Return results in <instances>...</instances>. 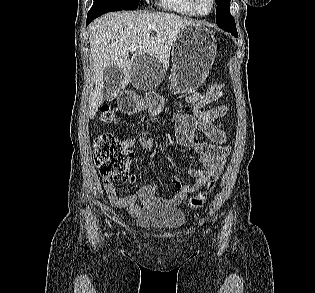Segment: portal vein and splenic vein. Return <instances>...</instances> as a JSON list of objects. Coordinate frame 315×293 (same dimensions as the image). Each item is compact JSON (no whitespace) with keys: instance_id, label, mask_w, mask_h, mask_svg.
I'll return each instance as SVG.
<instances>
[{"instance_id":"portal-vein-and-splenic-vein-1","label":"portal vein and splenic vein","mask_w":315,"mask_h":293,"mask_svg":"<svg viewBox=\"0 0 315 293\" xmlns=\"http://www.w3.org/2000/svg\"><path fill=\"white\" fill-rule=\"evenodd\" d=\"M136 49V44H132L130 47H129V50L133 51Z\"/></svg>"}]
</instances>
